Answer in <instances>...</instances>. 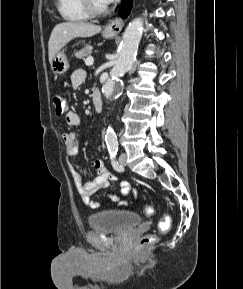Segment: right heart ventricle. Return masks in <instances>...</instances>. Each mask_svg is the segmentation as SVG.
Masks as SVG:
<instances>
[{
    "label": "right heart ventricle",
    "instance_id": "right-heart-ventricle-1",
    "mask_svg": "<svg viewBox=\"0 0 243 289\" xmlns=\"http://www.w3.org/2000/svg\"><path fill=\"white\" fill-rule=\"evenodd\" d=\"M60 15L68 21H85L89 15L84 10L82 0H57Z\"/></svg>",
    "mask_w": 243,
    "mask_h": 289
}]
</instances>
